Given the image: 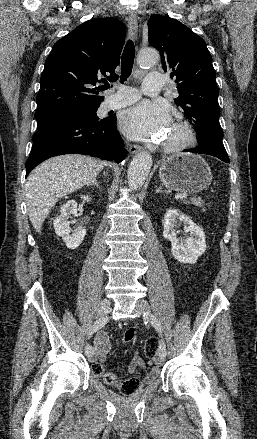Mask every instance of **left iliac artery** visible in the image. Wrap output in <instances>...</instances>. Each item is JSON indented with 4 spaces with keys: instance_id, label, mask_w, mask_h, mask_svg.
I'll return each instance as SVG.
<instances>
[{
    "instance_id": "left-iliac-artery-1",
    "label": "left iliac artery",
    "mask_w": 257,
    "mask_h": 439,
    "mask_svg": "<svg viewBox=\"0 0 257 439\" xmlns=\"http://www.w3.org/2000/svg\"><path fill=\"white\" fill-rule=\"evenodd\" d=\"M149 315V314H147ZM144 316H146V314H144ZM150 319H151V323L154 326V328L157 330V332L162 335V331H161V326L160 323L158 322V320L156 319L155 316L153 315H149ZM159 353L161 355H163L164 357L166 356V346L165 343L163 342V340H161L160 344H159Z\"/></svg>"
}]
</instances>
